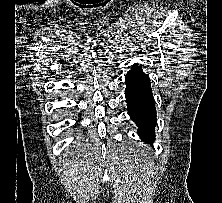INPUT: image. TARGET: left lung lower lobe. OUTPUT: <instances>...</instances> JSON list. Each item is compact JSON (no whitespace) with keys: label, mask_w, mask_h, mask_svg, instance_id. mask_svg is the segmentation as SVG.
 I'll use <instances>...</instances> for the list:
<instances>
[{"label":"left lung lower lobe","mask_w":222,"mask_h":203,"mask_svg":"<svg viewBox=\"0 0 222 203\" xmlns=\"http://www.w3.org/2000/svg\"><path fill=\"white\" fill-rule=\"evenodd\" d=\"M126 102L129 116L136 122L140 138L146 142L154 141L156 110L149 77L137 64L126 76Z\"/></svg>","instance_id":"0a47b994"}]
</instances>
